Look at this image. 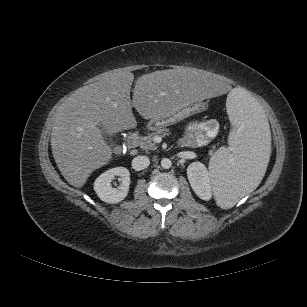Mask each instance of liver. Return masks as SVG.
<instances>
[{
  "label": "liver",
  "instance_id": "liver-1",
  "mask_svg": "<svg viewBox=\"0 0 307 307\" xmlns=\"http://www.w3.org/2000/svg\"><path fill=\"white\" fill-rule=\"evenodd\" d=\"M134 74L121 69L106 72L77 89L59 107L51 133L55 162L66 181L81 188L90 174L107 164L112 149L99 124L110 134L134 128L132 107L145 119L174 113L181 108L229 92V85L202 70L168 69L139 77L130 100ZM270 139V137H269Z\"/></svg>",
  "mask_w": 307,
  "mask_h": 307
}]
</instances>
